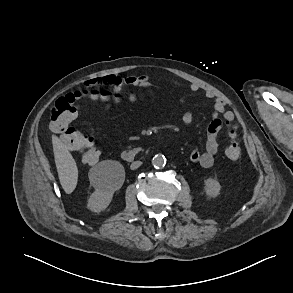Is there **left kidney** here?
I'll use <instances>...</instances> for the list:
<instances>
[{"mask_svg":"<svg viewBox=\"0 0 293 293\" xmlns=\"http://www.w3.org/2000/svg\"><path fill=\"white\" fill-rule=\"evenodd\" d=\"M204 183V191L207 196L214 198L220 194L221 185L216 179L208 178Z\"/></svg>","mask_w":293,"mask_h":293,"instance_id":"left-kidney-1","label":"left kidney"}]
</instances>
